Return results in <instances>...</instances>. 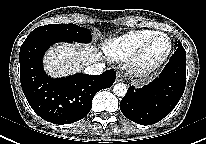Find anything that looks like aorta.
<instances>
[{
	"instance_id": "1",
	"label": "aorta",
	"mask_w": 206,
	"mask_h": 144,
	"mask_svg": "<svg viewBox=\"0 0 206 144\" xmlns=\"http://www.w3.org/2000/svg\"><path fill=\"white\" fill-rule=\"evenodd\" d=\"M113 92L118 97H124L127 93V87L123 83H117L113 87Z\"/></svg>"
}]
</instances>
